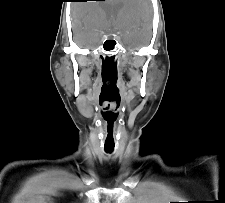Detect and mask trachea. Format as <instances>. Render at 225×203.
I'll use <instances>...</instances> for the list:
<instances>
[{
	"instance_id": "trachea-1",
	"label": "trachea",
	"mask_w": 225,
	"mask_h": 203,
	"mask_svg": "<svg viewBox=\"0 0 225 203\" xmlns=\"http://www.w3.org/2000/svg\"><path fill=\"white\" fill-rule=\"evenodd\" d=\"M106 152H107V153H111V152H112V150H106Z\"/></svg>"
}]
</instances>
